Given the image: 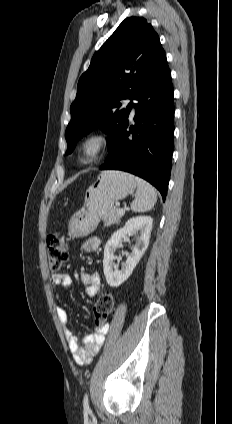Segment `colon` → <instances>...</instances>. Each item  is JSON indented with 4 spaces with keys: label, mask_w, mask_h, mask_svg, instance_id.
<instances>
[{
    "label": "colon",
    "mask_w": 232,
    "mask_h": 424,
    "mask_svg": "<svg viewBox=\"0 0 232 424\" xmlns=\"http://www.w3.org/2000/svg\"><path fill=\"white\" fill-rule=\"evenodd\" d=\"M47 258L51 271L62 268L67 259V245L65 238L59 233H53L47 238ZM114 307V296L109 291L102 292L93 306V320L96 325L103 322Z\"/></svg>",
    "instance_id": "colon-1"
}]
</instances>
